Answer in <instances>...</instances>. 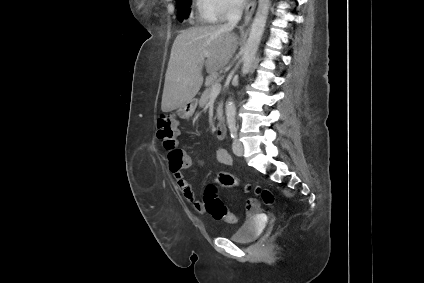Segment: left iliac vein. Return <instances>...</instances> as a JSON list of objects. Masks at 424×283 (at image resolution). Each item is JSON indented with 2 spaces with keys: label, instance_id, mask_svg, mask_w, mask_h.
<instances>
[{
  "label": "left iliac vein",
  "instance_id": "obj_1",
  "mask_svg": "<svg viewBox=\"0 0 424 283\" xmlns=\"http://www.w3.org/2000/svg\"><path fill=\"white\" fill-rule=\"evenodd\" d=\"M232 150L235 155L242 156L244 153V146L239 140H235L232 145Z\"/></svg>",
  "mask_w": 424,
  "mask_h": 283
}]
</instances>
